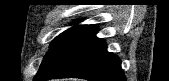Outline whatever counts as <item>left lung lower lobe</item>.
I'll return each instance as SVG.
<instances>
[{
    "label": "left lung lower lobe",
    "mask_w": 169,
    "mask_h": 81,
    "mask_svg": "<svg viewBox=\"0 0 169 81\" xmlns=\"http://www.w3.org/2000/svg\"><path fill=\"white\" fill-rule=\"evenodd\" d=\"M96 31L95 25L80 31L53 67L34 81L70 77L89 81H126L120 59L107 52L104 40L95 36Z\"/></svg>",
    "instance_id": "obj_1"
}]
</instances>
